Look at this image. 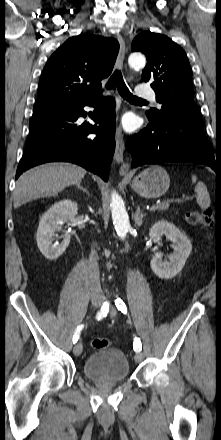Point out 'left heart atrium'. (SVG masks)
Instances as JSON below:
<instances>
[{"mask_svg":"<svg viewBox=\"0 0 221 440\" xmlns=\"http://www.w3.org/2000/svg\"><path fill=\"white\" fill-rule=\"evenodd\" d=\"M124 126L129 130L133 129L135 127L133 118L130 116L126 117L124 120Z\"/></svg>","mask_w":221,"mask_h":440,"instance_id":"39dd6f15","label":"left heart atrium"}]
</instances>
